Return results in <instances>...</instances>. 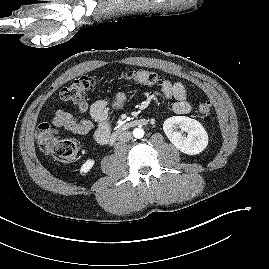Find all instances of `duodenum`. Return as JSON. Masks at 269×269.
Masks as SVG:
<instances>
[{
  "label": "duodenum",
  "mask_w": 269,
  "mask_h": 269,
  "mask_svg": "<svg viewBox=\"0 0 269 269\" xmlns=\"http://www.w3.org/2000/svg\"><path fill=\"white\" fill-rule=\"evenodd\" d=\"M147 123L148 121L145 118H137L124 122L121 125H119L118 128L112 134L109 135L108 142L112 144L117 140V138L122 132L130 128L147 125Z\"/></svg>",
  "instance_id": "1"
}]
</instances>
